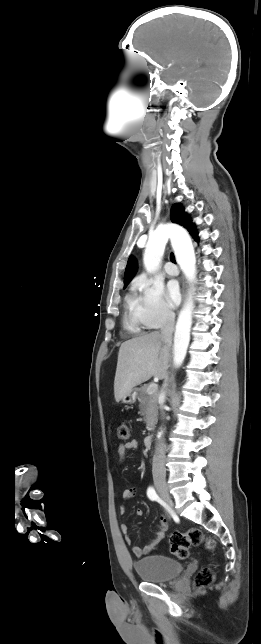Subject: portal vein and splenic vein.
<instances>
[{
    "mask_svg": "<svg viewBox=\"0 0 261 644\" xmlns=\"http://www.w3.org/2000/svg\"><path fill=\"white\" fill-rule=\"evenodd\" d=\"M158 385L157 384H150L147 388L148 394H153L155 391H157Z\"/></svg>",
    "mask_w": 261,
    "mask_h": 644,
    "instance_id": "portal-vein-and-splenic-vein-1",
    "label": "portal vein and splenic vein"
}]
</instances>
